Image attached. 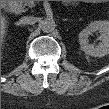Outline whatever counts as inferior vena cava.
Instances as JSON below:
<instances>
[{"label": "inferior vena cava", "instance_id": "obj_1", "mask_svg": "<svg viewBox=\"0 0 109 109\" xmlns=\"http://www.w3.org/2000/svg\"><path fill=\"white\" fill-rule=\"evenodd\" d=\"M35 18L31 16H25L20 19L19 23L20 24H34L35 23Z\"/></svg>", "mask_w": 109, "mask_h": 109}]
</instances>
